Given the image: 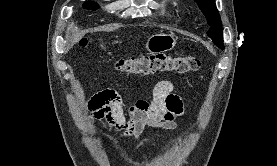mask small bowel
<instances>
[{"mask_svg": "<svg viewBox=\"0 0 277 166\" xmlns=\"http://www.w3.org/2000/svg\"><path fill=\"white\" fill-rule=\"evenodd\" d=\"M174 85L169 80L158 82L151 95L137 100L124 115L122 100L115 89L99 91L90 99L89 110L96 120H106L123 132V136L138 142V148L156 144L140 136L146 127L174 130L176 118L183 112L182 100L173 93Z\"/></svg>", "mask_w": 277, "mask_h": 166, "instance_id": "c3829d8e", "label": "small bowel"}]
</instances>
